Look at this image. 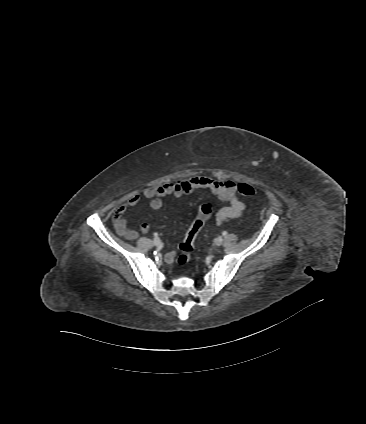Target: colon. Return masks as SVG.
I'll list each match as a JSON object with an SVG mask.
<instances>
[{"label":"colon","mask_w":366,"mask_h":424,"mask_svg":"<svg viewBox=\"0 0 366 424\" xmlns=\"http://www.w3.org/2000/svg\"><path fill=\"white\" fill-rule=\"evenodd\" d=\"M238 193L243 197H251L255 194L254 188L247 183H240L237 186ZM214 205L211 202H204L196 209L195 218L189 226L179 249L180 254L177 258L178 265L185 267L192 259V253L195 250V243L199 232L207 219L212 215Z\"/></svg>","instance_id":"1"}]
</instances>
